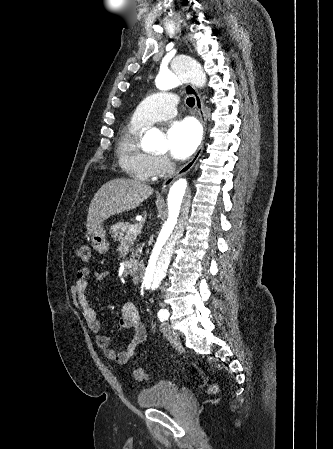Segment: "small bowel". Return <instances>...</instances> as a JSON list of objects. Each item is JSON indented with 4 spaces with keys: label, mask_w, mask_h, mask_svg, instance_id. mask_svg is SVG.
<instances>
[{
    "label": "small bowel",
    "mask_w": 333,
    "mask_h": 449,
    "mask_svg": "<svg viewBox=\"0 0 333 449\" xmlns=\"http://www.w3.org/2000/svg\"><path fill=\"white\" fill-rule=\"evenodd\" d=\"M90 277V270L81 268L72 282V298L81 310L88 329L95 335L97 346L109 360L117 364H125L135 353L136 347L143 343L147 336L146 328L140 318L138 309L132 302H126L121 307V318L118 323L120 331L128 333L133 331L125 347L117 351L111 347L110 338L101 333V323L96 311L90 306L86 289ZM94 277L97 281H104L107 278L105 271H96Z\"/></svg>",
    "instance_id": "obj_1"
}]
</instances>
